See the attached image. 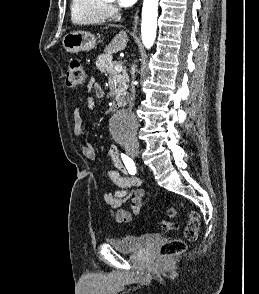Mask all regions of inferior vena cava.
I'll list each match as a JSON object with an SVG mask.
<instances>
[{
	"label": "inferior vena cava",
	"mask_w": 259,
	"mask_h": 294,
	"mask_svg": "<svg viewBox=\"0 0 259 294\" xmlns=\"http://www.w3.org/2000/svg\"><path fill=\"white\" fill-rule=\"evenodd\" d=\"M134 79H135V75L132 76L131 98H130V101H129V109L130 110L133 108L134 100H135V87H134V84H133ZM134 144L138 146L137 139H134Z\"/></svg>",
	"instance_id": "inferior-vena-cava-1"
}]
</instances>
